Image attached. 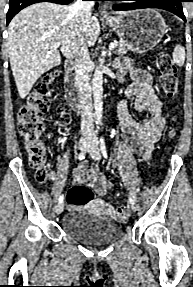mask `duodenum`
I'll return each mask as SVG.
<instances>
[{
	"instance_id": "duodenum-1",
	"label": "duodenum",
	"mask_w": 193,
	"mask_h": 287,
	"mask_svg": "<svg viewBox=\"0 0 193 287\" xmlns=\"http://www.w3.org/2000/svg\"><path fill=\"white\" fill-rule=\"evenodd\" d=\"M73 69H74L73 59L68 58L65 62L66 101L73 110H76L78 108L79 103V90L78 85L74 79Z\"/></svg>"
}]
</instances>
